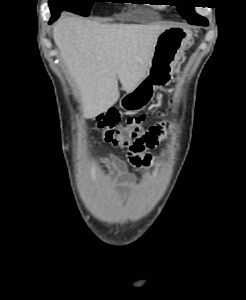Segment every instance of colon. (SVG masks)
Masks as SVG:
<instances>
[{
    "mask_svg": "<svg viewBox=\"0 0 246 300\" xmlns=\"http://www.w3.org/2000/svg\"><path fill=\"white\" fill-rule=\"evenodd\" d=\"M161 114V112H154L152 115L161 116ZM149 117L147 113L130 116L119 125V113L110 110L97 116L96 125L101 130L105 143L114 147H128L130 151L143 155L144 161H149L148 151L158 146L166 130L165 125L146 128Z\"/></svg>",
    "mask_w": 246,
    "mask_h": 300,
    "instance_id": "1",
    "label": "colon"
}]
</instances>
